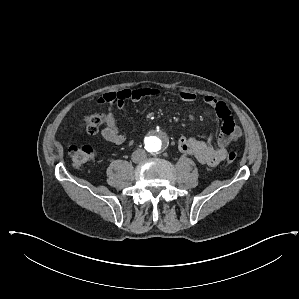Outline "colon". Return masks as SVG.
Returning a JSON list of instances; mask_svg holds the SVG:
<instances>
[{
	"mask_svg": "<svg viewBox=\"0 0 299 299\" xmlns=\"http://www.w3.org/2000/svg\"><path fill=\"white\" fill-rule=\"evenodd\" d=\"M101 123V116L97 113L87 115L82 121V127L91 135L98 132ZM69 154L75 167H82L94 159V151L89 145H74L69 148ZM236 160V154L230 152L227 156V162L233 163Z\"/></svg>",
	"mask_w": 299,
	"mask_h": 299,
	"instance_id": "obj_1",
	"label": "colon"
}]
</instances>
